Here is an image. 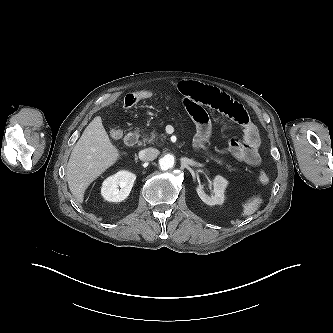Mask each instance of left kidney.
Returning a JSON list of instances; mask_svg holds the SVG:
<instances>
[{"label":"left kidney","mask_w":333,"mask_h":333,"mask_svg":"<svg viewBox=\"0 0 333 333\" xmlns=\"http://www.w3.org/2000/svg\"><path fill=\"white\" fill-rule=\"evenodd\" d=\"M228 185V181L220 175H217L213 180L214 195L208 196L201 186L196 188L200 199L207 205H222L224 203V192Z\"/></svg>","instance_id":"5707ae66"}]
</instances>
